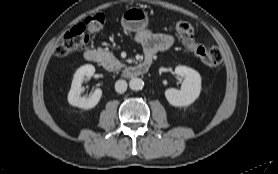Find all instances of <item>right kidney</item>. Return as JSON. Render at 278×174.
I'll list each match as a JSON object with an SVG mask.
<instances>
[{"mask_svg": "<svg viewBox=\"0 0 278 174\" xmlns=\"http://www.w3.org/2000/svg\"><path fill=\"white\" fill-rule=\"evenodd\" d=\"M95 72V67L93 65L81 66L74 74L71 89L68 94V102L72 106L91 109L94 108L101 96L102 90L97 88L90 97H81V92L83 91L82 83L93 76Z\"/></svg>", "mask_w": 278, "mask_h": 174, "instance_id": "ca27d5eb", "label": "right kidney"}]
</instances>
